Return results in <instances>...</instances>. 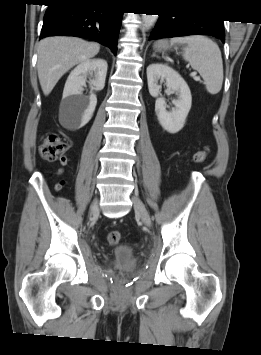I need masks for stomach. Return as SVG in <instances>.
<instances>
[{"mask_svg":"<svg viewBox=\"0 0 261 355\" xmlns=\"http://www.w3.org/2000/svg\"><path fill=\"white\" fill-rule=\"evenodd\" d=\"M170 45L168 43V41L166 40H160V41H157L155 44H154V49L155 51H158V52H161V51H166L168 49H170Z\"/></svg>","mask_w":261,"mask_h":355,"instance_id":"1","label":"stomach"}]
</instances>
